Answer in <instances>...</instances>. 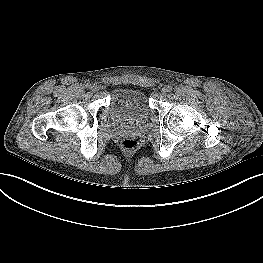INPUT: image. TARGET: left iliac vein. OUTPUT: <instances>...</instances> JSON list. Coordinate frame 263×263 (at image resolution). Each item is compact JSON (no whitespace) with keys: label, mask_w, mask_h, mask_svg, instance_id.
Instances as JSON below:
<instances>
[{"label":"left iliac vein","mask_w":263,"mask_h":263,"mask_svg":"<svg viewBox=\"0 0 263 263\" xmlns=\"http://www.w3.org/2000/svg\"><path fill=\"white\" fill-rule=\"evenodd\" d=\"M161 93L166 95L168 93L167 87L162 88Z\"/></svg>","instance_id":"4c4485c4"}]
</instances>
